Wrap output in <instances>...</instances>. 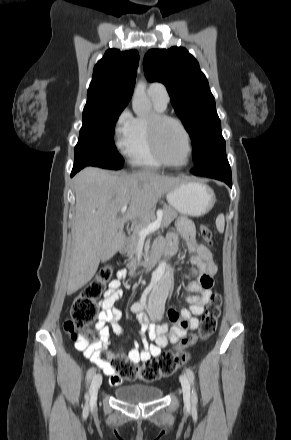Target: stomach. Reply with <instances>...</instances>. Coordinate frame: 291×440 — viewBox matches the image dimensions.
<instances>
[{
  "label": "stomach",
  "mask_w": 291,
  "mask_h": 440,
  "mask_svg": "<svg viewBox=\"0 0 291 440\" xmlns=\"http://www.w3.org/2000/svg\"><path fill=\"white\" fill-rule=\"evenodd\" d=\"M166 199L171 207L187 216H202L216 202L215 193L208 185L187 180H182L168 191Z\"/></svg>",
  "instance_id": "stomach-1"
}]
</instances>
